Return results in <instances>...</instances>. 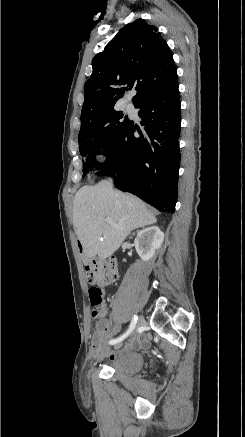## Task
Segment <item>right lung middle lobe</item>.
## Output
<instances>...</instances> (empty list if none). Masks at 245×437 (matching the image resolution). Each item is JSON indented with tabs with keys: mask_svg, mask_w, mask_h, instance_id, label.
Masks as SVG:
<instances>
[{
	"mask_svg": "<svg viewBox=\"0 0 245 437\" xmlns=\"http://www.w3.org/2000/svg\"><path fill=\"white\" fill-rule=\"evenodd\" d=\"M130 122L127 116L112 107L81 126L78 141L80 154L85 159L84 173L94 166L95 154L101 147L109 157Z\"/></svg>",
	"mask_w": 245,
	"mask_h": 437,
	"instance_id": "1",
	"label": "right lung middle lobe"
}]
</instances>
